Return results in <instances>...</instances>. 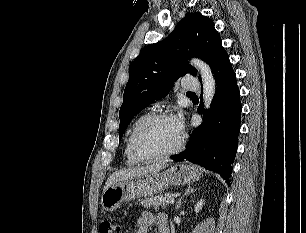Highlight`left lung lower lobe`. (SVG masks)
Wrapping results in <instances>:
<instances>
[{
	"instance_id": "obj_1",
	"label": "left lung lower lobe",
	"mask_w": 306,
	"mask_h": 233,
	"mask_svg": "<svg viewBox=\"0 0 306 233\" xmlns=\"http://www.w3.org/2000/svg\"><path fill=\"white\" fill-rule=\"evenodd\" d=\"M212 73L217 88L211 107L204 112L201 126L194 129L186 150L173 156L172 159L177 161L186 159L217 172L230 185L229 178L240 130L241 103L236 74L227 53L216 62ZM202 111L201 103L198 112Z\"/></svg>"
}]
</instances>
